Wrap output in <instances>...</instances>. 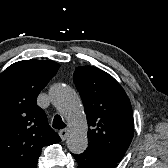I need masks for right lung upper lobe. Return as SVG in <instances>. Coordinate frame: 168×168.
Wrapping results in <instances>:
<instances>
[{
    "label": "right lung upper lobe",
    "mask_w": 168,
    "mask_h": 168,
    "mask_svg": "<svg viewBox=\"0 0 168 168\" xmlns=\"http://www.w3.org/2000/svg\"><path fill=\"white\" fill-rule=\"evenodd\" d=\"M59 66L23 60L0 75V168H36L42 147L61 141L36 102Z\"/></svg>",
    "instance_id": "cb5924a9"
}]
</instances>
